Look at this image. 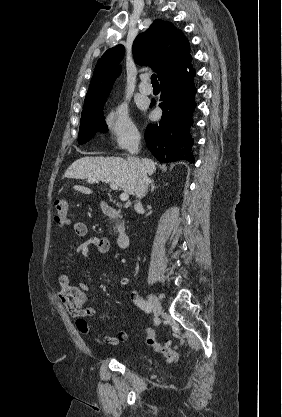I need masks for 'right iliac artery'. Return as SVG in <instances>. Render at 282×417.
<instances>
[{
	"instance_id": "obj_1",
	"label": "right iliac artery",
	"mask_w": 282,
	"mask_h": 417,
	"mask_svg": "<svg viewBox=\"0 0 282 417\" xmlns=\"http://www.w3.org/2000/svg\"><path fill=\"white\" fill-rule=\"evenodd\" d=\"M136 305L142 309L143 311H145L146 313H150L151 312V305L150 303H148L147 301H145L142 298H138L136 300Z\"/></svg>"
}]
</instances>
